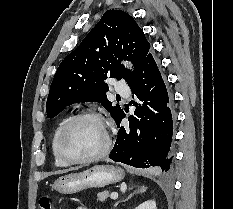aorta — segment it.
<instances>
[{
    "label": "aorta",
    "instance_id": "aorta-1",
    "mask_svg": "<svg viewBox=\"0 0 233 209\" xmlns=\"http://www.w3.org/2000/svg\"><path fill=\"white\" fill-rule=\"evenodd\" d=\"M125 65H127V67L131 68V64L130 63H126Z\"/></svg>",
    "mask_w": 233,
    "mask_h": 209
}]
</instances>
